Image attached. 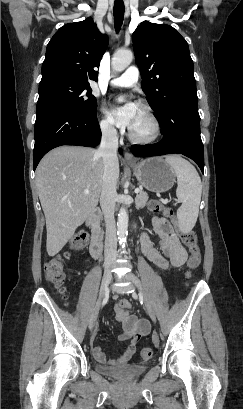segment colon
<instances>
[{
    "label": "colon",
    "instance_id": "1",
    "mask_svg": "<svg viewBox=\"0 0 243 409\" xmlns=\"http://www.w3.org/2000/svg\"><path fill=\"white\" fill-rule=\"evenodd\" d=\"M149 209L154 214H163L164 216L173 219V210L165 206L159 200H152L149 203ZM182 242L189 248L190 256L187 262L188 276L191 271L196 270L201 263V252L197 244V235L193 230L178 231ZM88 237L86 234H78L72 244L76 250L82 249L87 243ZM68 257V253H63L52 257L46 262L44 272L47 280L62 294L65 293L66 275L63 271V261ZM140 357L143 360H149L152 357V350L148 347L142 348Z\"/></svg>",
    "mask_w": 243,
    "mask_h": 409
}]
</instances>
